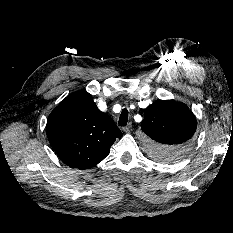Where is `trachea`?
Wrapping results in <instances>:
<instances>
[{"label": "trachea", "mask_w": 233, "mask_h": 233, "mask_svg": "<svg viewBox=\"0 0 233 233\" xmlns=\"http://www.w3.org/2000/svg\"><path fill=\"white\" fill-rule=\"evenodd\" d=\"M128 122V110L124 108L119 117V126L123 127L126 126Z\"/></svg>", "instance_id": "1"}]
</instances>
